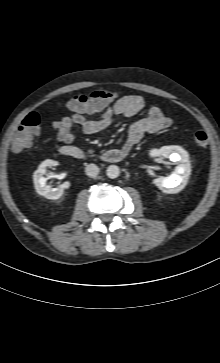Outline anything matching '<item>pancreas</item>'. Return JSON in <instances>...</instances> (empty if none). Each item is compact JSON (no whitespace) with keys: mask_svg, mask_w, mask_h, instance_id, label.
Wrapping results in <instances>:
<instances>
[{"mask_svg":"<svg viewBox=\"0 0 220 363\" xmlns=\"http://www.w3.org/2000/svg\"><path fill=\"white\" fill-rule=\"evenodd\" d=\"M93 152H94L93 150H89V151H88V153H89V154H92Z\"/></svg>","mask_w":220,"mask_h":363,"instance_id":"pancreas-1","label":"pancreas"}]
</instances>
